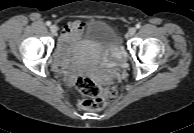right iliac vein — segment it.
<instances>
[{"mask_svg": "<svg viewBox=\"0 0 194 133\" xmlns=\"http://www.w3.org/2000/svg\"><path fill=\"white\" fill-rule=\"evenodd\" d=\"M50 31H51V33H52L53 35H55V34L57 33V31H58L57 26L52 25V26L50 27Z\"/></svg>", "mask_w": 194, "mask_h": 133, "instance_id": "right-iliac-vein-1", "label": "right iliac vein"}]
</instances>
